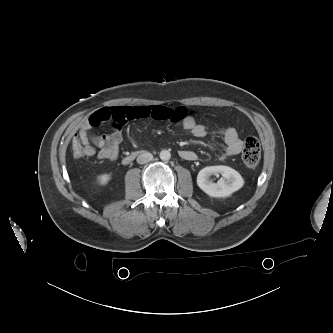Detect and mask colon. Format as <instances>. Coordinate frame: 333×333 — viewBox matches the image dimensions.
I'll use <instances>...</instances> for the list:
<instances>
[{
    "instance_id": "1",
    "label": "colon",
    "mask_w": 333,
    "mask_h": 333,
    "mask_svg": "<svg viewBox=\"0 0 333 333\" xmlns=\"http://www.w3.org/2000/svg\"><path fill=\"white\" fill-rule=\"evenodd\" d=\"M72 152L74 158H82L85 156L84 147L79 140L75 137L72 140ZM242 160L249 167H255L261 156V146L259 140L255 136H247L243 143Z\"/></svg>"
}]
</instances>
